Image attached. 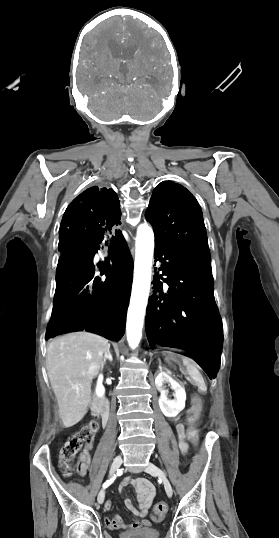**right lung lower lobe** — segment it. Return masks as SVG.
Here are the masks:
<instances>
[{"label": "right lung lower lobe", "mask_w": 279, "mask_h": 538, "mask_svg": "<svg viewBox=\"0 0 279 538\" xmlns=\"http://www.w3.org/2000/svg\"><path fill=\"white\" fill-rule=\"evenodd\" d=\"M120 218L116 193L97 186L85 190L66 209L59 229L61 256L46 339L82 330L101 332L113 340L123 336L133 262L118 229ZM100 244L109 246L108 256L94 264Z\"/></svg>", "instance_id": "98d812e1"}]
</instances>
